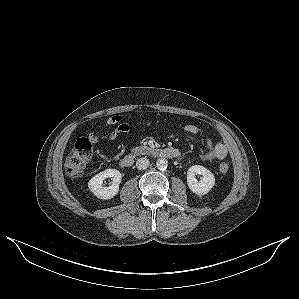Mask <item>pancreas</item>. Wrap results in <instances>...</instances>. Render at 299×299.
Instances as JSON below:
<instances>
[{
    "instance_id": "obj_1",
    "label": "pancreas",
    "mask_w": 299,
    "mask_h": 299,
    "mask_svg": "<svg viewBox=\"0 0 299 299\" xmlns=\"http://www.w3.org/2000/svg\"><path fill=\"white\" fill-rule=\"evenodd\" d=\"M150 151H151V148H149L147 146H143V145L137 146L131 150V152L137 156L145 155V154L149 153Z\"/></svg>"
}]
</instances>
